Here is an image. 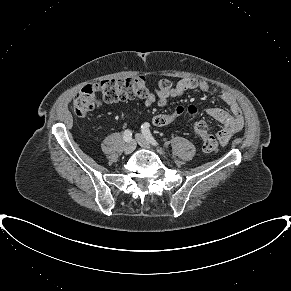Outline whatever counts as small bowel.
Segmentation results:
<instances>
[{"mask_svg":"<svg viewBox=\"0 0 291 291\" xmlns=\"http://www.w3.org/2000/svg\"><path fill=\"white\" fill-rule=\"evenodd\" d=\"M189 90L215 93L219 99L229 107L230 111H225L220 108L207 109V114L222 126L221 130L216 134L222 144L228 143L234 134L242 130L244 127V118L242 116L241 108L233 95L230 92L218 89L205 81L184 78L176 85H172L169 80L163 79L159 82L156 93L148 95L145 98L143 105L148 107L152 104H157L158 106L163 107L169 102V100L180 97Z\"/></svg>","mask_w":291,"mask_h":291,"instance_id":"1","label":"small bowel"}]
</instances>
